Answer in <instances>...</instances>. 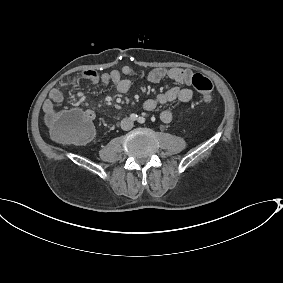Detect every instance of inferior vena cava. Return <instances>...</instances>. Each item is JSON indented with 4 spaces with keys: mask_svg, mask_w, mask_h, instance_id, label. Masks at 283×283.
Here are the masks:
<instances>
[{
    "mask_svg": "<svg viewBox=\"0 0 283 283\" xmlns=\"http://www.w3.org/2000/svg\"><path fill=\"white\" fill-rule=\"evenodd\" d=\"M121 128L125 131H128L133 128V121L130 118H124L121 121Z\"/></svg>",
    "mask_w": 283,
    "mask_h": 283,
    "instance_id": "inferior-vena-cava-1",
    "label": "inferior vena cava"
}]
</instances>
